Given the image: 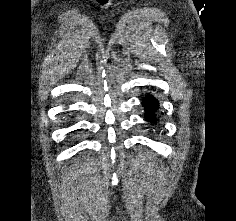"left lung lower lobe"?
I'll use <instances>...</instances> for the list:
<instances>
[{
    "mask_svg": "<svg viewBox=\"0 0 236 221\" xmlns=\"http://www.w3.org/2000/svg\"><path fill=\"white\" fill-rule=\"evenodd\" d=\"M142 104L146 109L147 115L145 116L146 120L149 122H153L156 123V118L154 117V115L152 114L154 111L157 110L158 108V102L157 100L150 96L147 95L143 100H142Z\"/></svg>",
    "mask_w": 236,
    "mask_h": 221,
    "instance_id": "obj_1",
    "label": "left lung lower lobe"
}]
</instances>
